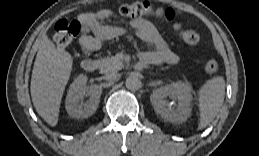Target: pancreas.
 <instances>
[{
    "instance_id": "cf45deb5",
    "label": "pancreas",
    "mask_w": 259,
    "mask_h": 156,
    "mask_svg": "<svg viewBox=\"0 0 259 156\" xmlns=\"http://www.w3.org/2000/svg\"><path fill=\"white\" fill-rule=\"evenodd\" d=\"M102 73H112L123 68V59L118 56H111L99 61Z\"/></svg>"
}]
</instances>
